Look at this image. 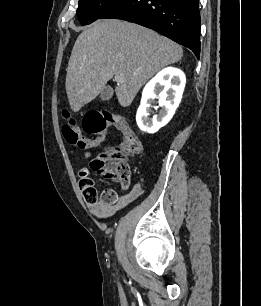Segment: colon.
Here are the masks:
<instances>
[{"label": "colon", "mask_w": 261, "mask_h": 306, "mask_svg": "<svg viewBox=\"0 0 261 306\" xmlns=\"http://www.w3.org/2000/svg\"><path fill=\"white\" fill-rule=\"evenodd\" d=\"M63 117L65 123L62 126V134L65 140L82 150L93 148V142L99 139H90L84 136L81 128L69 112L64 111ZM110 127L115 128L122 134L121 143L99 154L91 161L90 166L93 170L117 180L123 188H127L131 180L127 159L141 152V143L138 137L127 120L119 115L110 112L92 111L84 116L82 128L87 134L98 137ZM79 186L88 203L112 204L117 199V193L114 190H105L99 195L93 180L86 171L80 175Z\"/></svg>", "instance_id": "5ec220e1"}]
</instances>
